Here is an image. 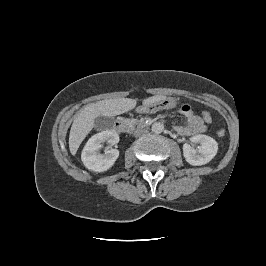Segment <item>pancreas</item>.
<instances>
[{
    "mask_svg": "<svg viewBox=\"0 0 266 266\" xmlns=\"http://www.w3.org/2000/svg\"><path fill=\"white\" fill-rule=\"evenodd\" d=\"M133 123H136L137 121L136 120H132Z\"/></svg>",
    "mask_w": 266,
    "mask_h": 266,
    "instance_id": "1",
    "label": "pancreas"
}]
</instances>
